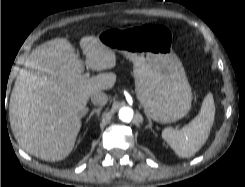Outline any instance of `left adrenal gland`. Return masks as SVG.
Listing matches in <instances>:
<instances>
[{"label":"left adrenal gland","mask_w":245,"mask_h":187,"mask_svg":"<svg viewBox=\"0 0 245 187\" xmlns=\"http://www.w3.org/2000/svg\"><path fill=\"white\" fill-rule=\"evenodd\" d=\"M151 131H153V129H152V122H151V120L149 119V124H148V126H147Z\"/></svg>","instance_id":"obj_1"}]
</instances>
